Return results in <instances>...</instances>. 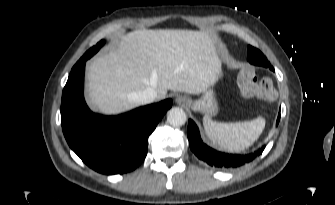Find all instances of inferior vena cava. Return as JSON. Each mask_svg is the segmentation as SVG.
I'll use <instances>...</instances> for the list:
<instances>
[{"mask_svg": "<svg viewBox=\"0 0 335 205\" xmlns=\"http://www.w3.org/2000/svg\"><path fill=\"white\" fill-rule=\"evenodd\" d=\"M136 100L141 104H148L153 102L157 98V92L155 89L149 87L141 92L134 94Z\"/></svg>", "mask_w": 335, "mask_h": 205, "instance_id": "602c4592", "label": "inferior vena cava"}]
</instances>
